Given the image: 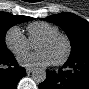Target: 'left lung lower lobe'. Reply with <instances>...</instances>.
Listing matches in <instances>:
<instances>
[{
    "label": "left lung lower lobe",
    "instance_id": "1",
    "mask_svg": "<svg viewBox=\"0 0 89 89\" xmlns=\"http://www.w3.org/2000/svg\"><path fill=\"white\" fill-rule=\"evenodd\" d=\"M46 73L39 89H89V54L68 59L58 72Z\"/></svg>",
    "mask_w": 89,
    "mask_h": 89
}]
</instances>
